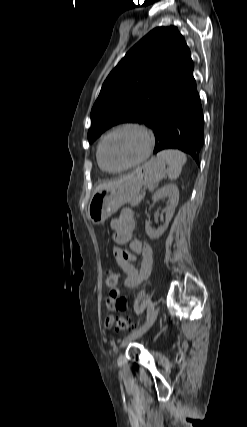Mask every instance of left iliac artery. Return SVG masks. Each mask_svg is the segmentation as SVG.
I'll use <instances>...</instances> for the list:
<instances>
[{"instance_id":"44dca946","label":"left iliac artery","mask_w":247,"mask_h":427,"mask_svg":"<svg viewBox=\"0 0 247 427\" xmlns=\"http://www.w3.org/2000/svg\"><path fill=\"white\" fill-rule=\"evenodd\" d=\"M154 311V305L152 303H150L148 305V309H147V319L150 317V315L153 313Z\"/></svg>"}]
</instances>
